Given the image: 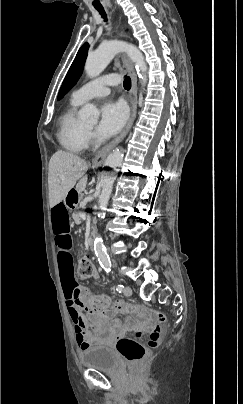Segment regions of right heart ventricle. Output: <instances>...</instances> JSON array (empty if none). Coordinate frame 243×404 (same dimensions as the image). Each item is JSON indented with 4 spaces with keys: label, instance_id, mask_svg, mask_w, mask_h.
Wrapping results in <instances>:
<instances>
[{
    "label": "right heart ventricle",
    "instance_id": "right-heart-ventricle-1",
    "mask_svg": "<svg viewBox=\"0 0 243 404\" xmlns=\"http://www.w3.org/2000/svg\"><path fill=\"white\" fill-rule=\"evenodd\" d=\"M102 48L103 45L100 49ZM75 91L76 90L71 94L69 105L58 118L56 140L59 147L64 152L73 155H81L87 150L88 141L87 132L76 116V112L84 103V100L78 97V94Z\"/></svg>",
    "mask_w": 243,
    "mask_h": 404
}]
</instances>
